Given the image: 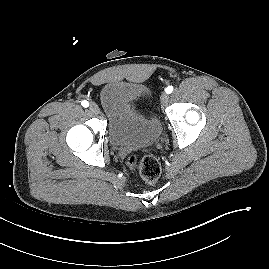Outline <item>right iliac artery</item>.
I'll list each match as a JSON object with an SVG mask.
<instances>
[{
	"mask_svg": "<svg viewBox=\"0 0 269 269\" xmlns=\"http://www.w3.org/2000/svg\"><path fill=\"white\" fill-rule=\"evenodd\" d=\"M81 105L83 106V107H88L89 106V102L88 101H86V100H83L82 102H81Z\"/></svg>",
	"mask_w": 269,
	"mask_h": 269,
	"instance_id": "1",
	"label": "right iliac artery"
}]
</instances>
